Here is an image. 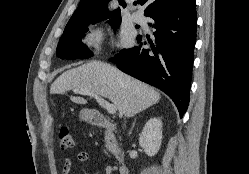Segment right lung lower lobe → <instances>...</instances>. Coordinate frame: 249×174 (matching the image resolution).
<instances>
[{
	"label": "right lung lower lobe",
	"instance_id": "98d812e1",
	"mask_svg": "<svg viewBox=\"0 0 249 174\" xmlns=\"http://www.w3.org/2000/svg\"><path fill=\"white\" fill-rule=\"evenodd\" d=\"M156 29L151 49L138 36L139 47L123 49L110 59L117 67L164 91L176 104L180 117L189 104L193 51L196 42L195 0L160 9L151 15Z\"/></svg>",
	"mask_w": 249,
	"mask_h": 174
}]
</instances>
